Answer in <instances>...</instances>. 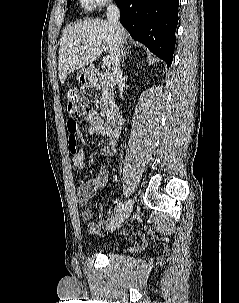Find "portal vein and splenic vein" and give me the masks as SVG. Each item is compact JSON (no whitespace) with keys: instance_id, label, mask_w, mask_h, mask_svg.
<instances>
[{"instance_id":"18ae733b","label":"portal vein and splenic vein","mask_w":239,"mask_h":303,"mask_svg":"<svg viewBox=\"0 0 239 303\" xmlns=\"http://www.w3.org/2000/svg\"><path fill=\"white\" fill-rule=\"evenodd\" d=\"M102 48L104 50H106V48L104 46H102ZM103 65L106 67H110L111 66V58L109 56H106L103 58Z\"/></svg>"}]
</instances>
